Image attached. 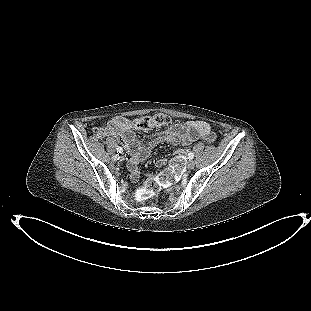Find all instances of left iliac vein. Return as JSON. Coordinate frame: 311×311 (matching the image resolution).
I'll use <instances>...</instances> for the list:
<instances>
[{"label":"left iliac vein","mask_w":311,"mask_h":311,"mask_svg":"<svg viewBox=\"0 0 311 311\" xmlns=\"http://www.w3.org/2000/svg\"><path fill=\"white\" fill-rule=\"evenodd\" d=\"M195 167V163L193 161H189L187 164L188 169H193Z\"/></svg>","instance_id":"4c4485c4"}]
</instances>
